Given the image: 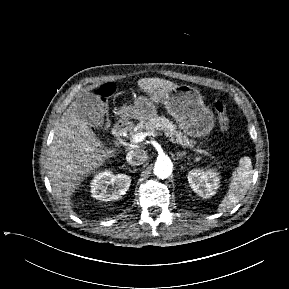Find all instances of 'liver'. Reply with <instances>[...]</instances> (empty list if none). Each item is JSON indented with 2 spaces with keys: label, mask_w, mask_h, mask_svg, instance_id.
<instances>
[{
  "label": "liver",
  "mask_w": 289,
  "mask_h": 289,
  "mask_svg": "<svg viewBox=\"0 0 289 289\" xmlns=\"http://www.w3.org/2000/svg\"><path fill=\"white\" fill-rule=\"evenodd\" d=\"M138 86L156 99L177 85L160 78H143ZM115 152L116 149L105 147L96 137L78 111L77 102H72L57 123L50 146L48 176L55 196L69 204L68 196L84 177L102 166Z\"/></svg>",
  "instance_id": "liver-1"
}]
</instances>
